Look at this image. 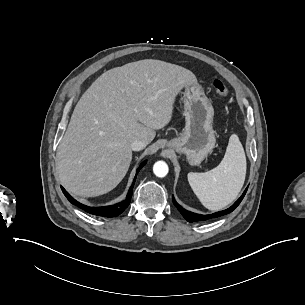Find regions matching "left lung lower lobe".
Returning <instances> with one entry per match:
<instances>
[{"instance_id": "obj_1", "label": "left lung lower lobe", "mask_w": 305, "mask_h": 305, "mask_svg": "<svg viewBox=\"0 0 305 305\" xmlns=\"http://www.w3.org/2000/svg\"><path fill=\"white\" fill-rule=\"evenodd\" d=\"M247 191H244V193L242 194V196L228 209L223 210V211H219L210 215H202V214H197V213H193L190 211H187L186 209H184L183 207H181L174 199H173V204L178 208V210L180 211V213L183 215V217L188 221V222H194V221H205L208 219H212V218H216L219 216H223L225 214H228L230 212H232L242 201L243 197L245 196V193Z\"/></svg>"}]
</instances>
